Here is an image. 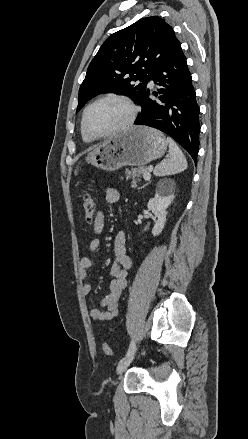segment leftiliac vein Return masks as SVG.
I'll return each instance as SVG.
<instances>
[{"label":"left iliac vein","instance_id":"4c4485c4","mask_svg":"<svg viewBox=\"0 0 248 439\" xmlns=\"http://www.w3.org/2000/svg\"><path fill=\"white\" fill-rule=\"evenodd\" d=\"M135 352L136 349L133 353L125 356L124 358H122L118 365H117V374H121L122 372H124L128 366L131 364V362L133 361L134 357H135Z\"/></svg>","mask_w":248,"mask_h":439}]
</instances>
